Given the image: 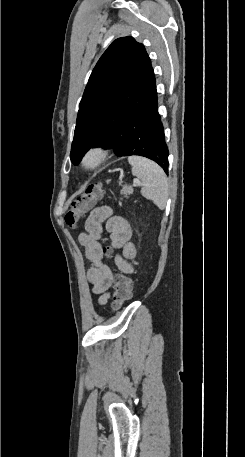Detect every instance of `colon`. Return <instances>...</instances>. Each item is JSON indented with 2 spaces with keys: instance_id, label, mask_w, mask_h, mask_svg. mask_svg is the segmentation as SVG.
Returning <instances> with one entry per match:
<instances>
[{
  "instance_id": "5ec220e1",
  "label": "colon",
  "mask_w": 245,
  "mask_h": 457,
  "mask_svg": "<svg viewBox=\"0 0 245 457\" xmlns=\"http://www.w3.org/2000/svg\"><path fill=\"white\" fill-rule=\"evenodd\" d=\"M102 195L103 188L100 183L89 185L83 194L72 201L65 216L66 223L71 227L76 226L88 209H90ZM104 252L105 254L110 255L111 250L109 248H104ZM132 291V279L125 274H117L112 292L113 308L118 309L122 304L128 301L132 296Z\"/></svg>"
}]
</instances>
